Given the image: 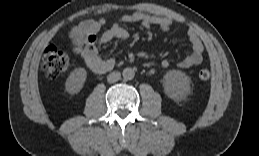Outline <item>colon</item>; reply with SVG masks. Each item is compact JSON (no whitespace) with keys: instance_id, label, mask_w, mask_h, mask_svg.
Listing matches in <instances>:
<instances>
[{"instance_id":"5ec220e1","label":"colon","mask_w":259,"mask_h":156,"mask_svg":"<svg viewBox=\"0 0 259 156\" xmlns=\"http://www.w3.org/2000/svg\"><path fill=\"white\" fill-rule=\"evenodd\" d=\"M41 66L44 74L54 79L69 69L70 60L64 51L51 45L44 50ZM210 76L211 73L208 69H202L198 73V78L202 82L208 81Z\"/></svg>"}]
</instances>
